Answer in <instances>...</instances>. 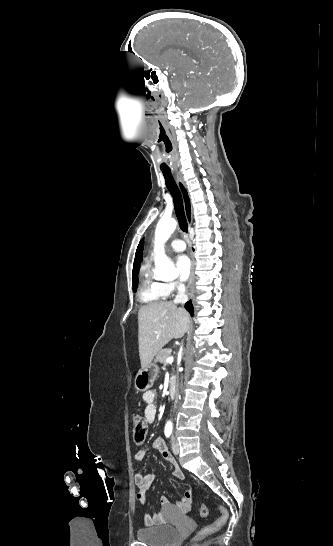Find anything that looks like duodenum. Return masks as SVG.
<instances>
[{
  "instance_id": "410a0bca",
  "label": "duodenum",
  "mask_w": 333,
  "mask_h": 546,
  "mask_svg": "<svg viewBox=\"0 0 333 546\" xmlns=\"http://www.w3.org/2000/svg\"><path fill=\"white\" fill-rule=\"evenodd\" d=\"M176 385H177L176 378L171 377L168 382V394L172 399L175 397V394H176Z\"/></svg>"
}]
</instances>
